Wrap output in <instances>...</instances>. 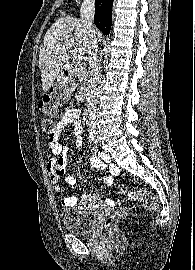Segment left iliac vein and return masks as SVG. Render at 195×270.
I'll list each match as a JSON object with an SVG mask.
<instances>
[{
    "mask_svg": "<svg viewBox=\"0 0 195 270\" xmlns=\"http://www.w3.org/2000/svg\"><path fill=\"white\" fill-rule=\"evenodd\" d=\"M93 138H94V143L97 144V142H98L97 136L94 135Z\"/></svg>",
    "mask_w": 195,
    "mask_h": 270,
    "instance_id": "1",
    "label": "left iliac vein"
}]
</instances>
